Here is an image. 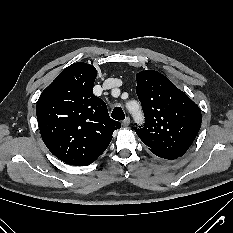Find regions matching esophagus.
<instances>
[{
    "label": "esophagus",
    "mask_w": 233,
    "mask_h": 233,
    "mask_svg": "<svg viewBox=\"0 0 233 233\" xmlns=\"http://www.w3.org/2000/svg\"><path fill=\"white\" fill-rule=\"evenodd\" d=\"M130 124V118L129 117H126L123 121H122V125L124 127H128Z\"/></svg>",
    "instance_id": "34e87169"
}]
</instances>
